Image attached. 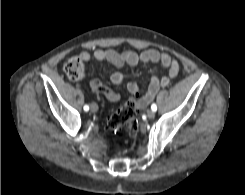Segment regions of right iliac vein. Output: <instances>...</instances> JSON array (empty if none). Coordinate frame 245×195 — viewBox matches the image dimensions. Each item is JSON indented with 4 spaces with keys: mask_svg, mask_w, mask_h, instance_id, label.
<instances>
[{
    "mask_svg": "<svg viewBox=\"0 0 245 195\" xmlns=\"http://www.w3.org/2000/svg\"><path fill=\"white\" fill-rule=\"evenodd\" d=\"M90 110H91V112H96V111L98 110V106H97V104L92 103V104H91V108H90Z\"/></svg>",
    "mask_w": 245,
    "mask_h": 195,
    "instance_id": "63e3f726",
    "label": "right iliac vein"
}]
</instances>
